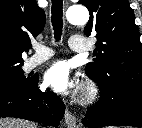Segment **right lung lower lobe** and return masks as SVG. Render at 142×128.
<instances>
[{
    "instance_id": "right-lung-lower-lobe-1",
    "label": "right lung lower lobe",
    "mask_w": 142,
    "mask_h": 128,
    "mask_svg": "<svg viewBox=\"0 0 142 128\" xmlns=\"http://www.w3.org/2000/svg\"><path fill=\"white\" fill-rule=\"evenodd\" d=\"M39 77H33L25 87L0 92V117L27 119L57 127L64 116L65 105L56 94H46L38 88Z\"/></svg>"
}]
</instances>
